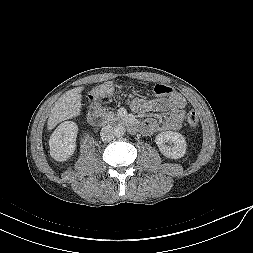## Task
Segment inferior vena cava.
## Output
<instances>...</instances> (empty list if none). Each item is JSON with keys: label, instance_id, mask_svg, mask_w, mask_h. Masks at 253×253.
<instances>
[{"label": "inferior vena cava", "instance_id": "inferior-vena-cava-1", "mask_svg": "<svg viewBox=\"0 0 253 253\" xmlns=\"http://www.w3.org/2000/svg\"><path fill=\"white\" fill-rule=\"evenodd\" d=\"M100 136L102 141L110 142L114 139V128L110 125H107L101 129Z\"/></svg>", "mask_w": 253, "mask_h": 253}]
</instances>
